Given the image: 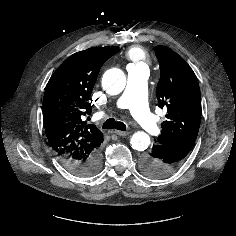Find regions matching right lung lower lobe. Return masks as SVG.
<instances>
[{
    "instance_id": "obj_1",
    "label": "right lung lower lobe",
    "mask_w": 236,
    "mask_h": 236,
    "mask_svg": "<svg viewBox=\"0 0 236 236\" xmlns=\"http://www.w3.org/2000/svg\"><path fill=\"white\" fill-rule=\"evenodd\" d=\"M64 166L73 174L78 176H91L97 173L102 166L101 150H95L87 160L63 161Z\"/></svg>"
}]
</instances>
